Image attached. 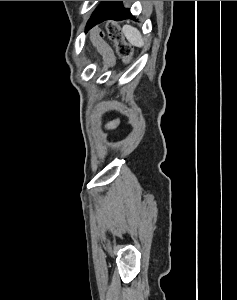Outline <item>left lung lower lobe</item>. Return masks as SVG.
Masks as SVG:
<instances>
[{"label": "left lung lower lobe", "instance_id": "left-lung-lower-lobe-1", "mask_svg": "<svg viewBox=\"0 0 237 300\" xmlns=\"http://www.w3.org/2000/svg\"><path fill=\"white\" fill-rule=\"evenodd\" d=\"M132 17L130 11L123 8L122 1H109L102 12L89 23L87 30L105 20L111 19L120 21Z\"/></svg>", "mask_w": 237, "mask_h": 300}]
</instances>
